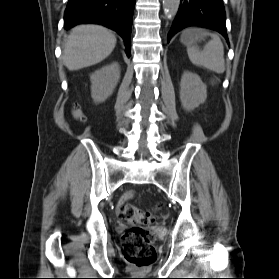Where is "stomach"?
I'll use <instances>...</instances> for the list:
<instances>
[{
	"label": "stomach",
	"instance_id": "stomach-1",
	"mask_svg": "<svg viewBox=\"0 0 279 279\" xmlns=\"http://www.w3.org/2000/svg\"><path fill=\"white\" fill-rule=\"evenodd\" d=\"M204 38V35L195 29H189L183 32L181 42L185 45L194 44Z\"/></svg>",
	"mask_w": 279,
	"mask_h": 279
}]
</instances>
